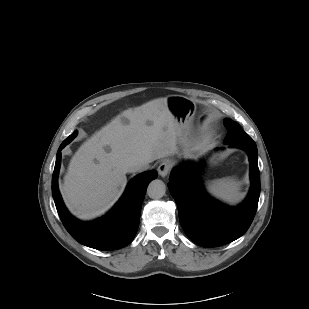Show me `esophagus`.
<instances>
[{"label": "esophagus", "instance_id": "34e87169", "mask_svg": "<svg viewBox=\"0 0 309 309\" xmlns=\"http://www.w3.org/2000/svg\"><path fill=\"white\" fill-rule=\"evenodd\" d=\"M170 164L167 161H163L159 166H158V173L160 176L165 177L168 175L170 172Z\"/></svg>", "mask_w": 309, "mask_h": 309}]
</instances>
